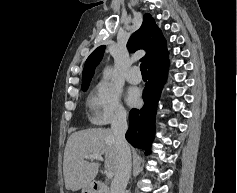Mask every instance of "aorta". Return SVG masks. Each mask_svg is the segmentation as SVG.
<instances>
[{"instance_id": "aorta-1", "label": "aorta", "mask_w": 237, "mask_h": 193, "mask_svg": "<svg viewBox=\"0 0 237 193\" xmlns=\"http://www.w3.org/2000/svg\"><path fill=\"white\" fill-rule=\"evenodd\" d=\"M112 73H113L112 68H106L103 73L104 79H108L109 77H111Z\"/></svg>"}]
</instances>
